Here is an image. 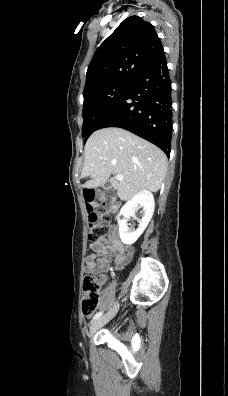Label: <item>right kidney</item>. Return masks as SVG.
Here are the masks:
<instances>
[{
  "label": "right kidney",
  "mask_w": 228,
  "mask_h": 396,
  "mask_svg": "<svg viewBox=\"0 0 228 396\" xmlns=\"http://www.w3.org/2000/svg\"><path fill=\"white\" fill-rule=\"evenodd\" d=\"M139 207L143 208V217L139 221L137 230L131 231L127 226V221L130 217L135 216L136 209ZM154 207L155 202L153 194L148 190H142L127 201L121 208L118 217V225L119 235L124 244L132 245L137 241L148 226L154 212Z\"/></svg>",
  "instance_id": "obj_1"
}]
</instances>
